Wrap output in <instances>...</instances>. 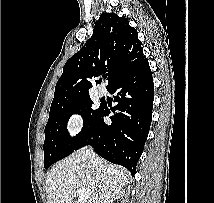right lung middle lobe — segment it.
<instances>
[{"instance_id":"1","label":"right lung middle lobe","mask_w":214,"mask_h":203,"mask_svg":"<svg viewBox=\"0 0 214 203\" xmlns=\"http://www.w3.org/2000/svg\"><path fill=\"white\" fill-rule=\"evenodd\" d=\"M92 104L90 97H86L50 111L43 146L45 168L71 154L90 133L102 107L100 105L94 110ZM73 114L82 116L84 126L82 131L72 138L67 132V123Z\"/></svg>"}]
</instances>
